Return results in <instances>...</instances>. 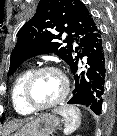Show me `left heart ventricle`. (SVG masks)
I'll list each match as a JSON object with an SVG mask.
<instances>
[{
    "label": "left heart ventricle",
    "mask_w": 117,
    "mask_h": 136,
    "mask_svg": "<svg viewBox=\"0 0 117 136\" xmlns=\"http://www.w3.org/2000/svg\"><path fill=\"white\" fill-rule=\"evenodd\" d=\"M62 91V79L54 72H43L33 82L31 97L35 104L45 105L56 100Z\"/></svg>",
    "instance_id": "left-heart-ventricle-1"
}]
</instances>
